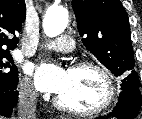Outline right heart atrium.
Listing matches in <instances>:
<instances>
[{"label": "right heart atrium", "mask_w": 142, "mask_h": 119, "mask_svg": "<svg viewBox=\"0 0 142 119\" xmlns=\"http://www.w3.org/2000/svg\"><path fill=\"white\" fill-rule=\"evenodd\" d=\"M20 94L23 98L33 100L36 97V91L28 79H24L20 83Z\"/></svg>", "instance_id": "1"}]
</instances>
